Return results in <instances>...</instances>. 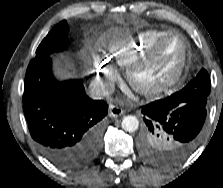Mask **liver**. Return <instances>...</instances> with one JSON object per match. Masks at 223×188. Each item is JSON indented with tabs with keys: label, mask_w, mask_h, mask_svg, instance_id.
Listing matches in <instances>:
<instances>
[{
	"label": "liver",
	"mask_w": 223,
	"mask_h": 188,
	"mask_svg": "<svg viewBox=\"0 0 223 188\" xmlns=\"http://www.w3.org/2000/svg\"><path fill=\"white\" fill-rule=\"evenodd\" d=\"M57 65L61 67V69H63L64 72H68V69L71 67L70 64L68 63H62L60 61L57 62Z\"/></svg>",
	"instance_id": "liver-1"
}]
</instances>
